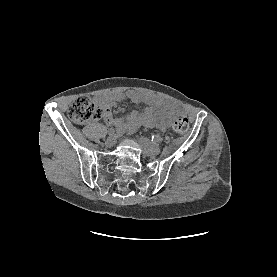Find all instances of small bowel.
<instances>
[{"instance_id": "1", "label": "small bowel", "mask_w": 277, "mask_h": 277, "mask_svg": "<svg viewBox=\"0 0 277 277\" xmlns=\"http://www.w3.org/2000/svg\"><path fill=\"white\" fill-rule=\"evenodd\" d=\"M125 98H129L134 102L145 101L149 106L144 111L133 110L127 115V120L132 126L145 125L148 127H157L161 130L168 128L171 114L174 107L168 101L152 96L142 95L135 91L127 93H110L100 98V101L105 105L107 113L104 116V121L108 125L120 126L124 125V119L121 117H113L111 107L117 102Z\"/></svg>"}]
</instances>
